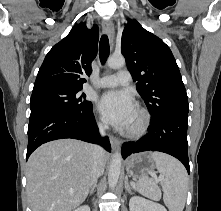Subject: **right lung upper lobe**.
<instances>
[{"instance_id":"cb5924a9","label":"right lung upper lobe","mask_w":221,"mask_h":211,"mask_svg":"<svg viewBox=\"0 0 221 211\" xmlns=\"http://www.w3.org/2000/svg\"><path fill=\"white\" fill-rule=\"evenodd\" d=\"M99 31L84 24L74 26L70 33L54 45L46 55L33 91L48 88L82 89L83 74L90 75L91 62L97 54Z\"/></svg>"}]
</instances>
